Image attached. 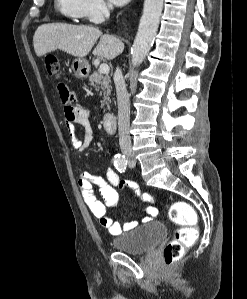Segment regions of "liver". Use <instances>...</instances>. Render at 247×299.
Returning <instances> with one entry per match:
<instances>
[{"instance_id":"1","label":"liver","mask_w":247,"mask_h":299,"mask_svg":"<svg viewBox=\"0 0 247 299\" xmlns=\"http://www.w3.org/2000/svg\"><path fill=\"white\" fill-rule=\"evenodd\" d=\"M93 55L112 60L124 50V44L115 36L102 34L89 25H71L66 23H48L37 28L33 37L35 53L38 57L60 49L72 56L83 58L94 47Z\"/></svg>"}]
</instances>
